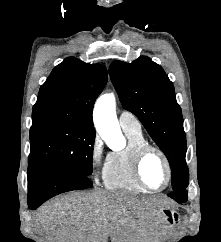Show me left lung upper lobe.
<instances>
[{"label": "left lung upper lobe", "mask_w": 221, "mask_h": 242, "mask_svg": "<svg viewBox=\"0 0 221 242\" xmlns=\"http://www.w3.org/2000/svg\"><path fill=\"white\" fill-rule=\"evenodd\" d=\"M109 74L123 107L138 117L166 155L173 190H185L189 181L186 135L172 82L161 66L146 56L132 63L116 60Z\"/></svg>", "instance_id": "obj_1"}]
</instances>
